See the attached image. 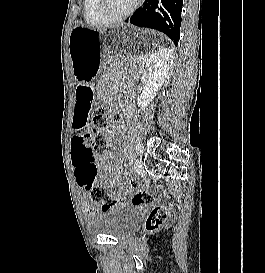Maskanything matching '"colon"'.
Returning a JSON list of instances; mask_svg holds the SVG:
<instances>
[{"label": "colon", "mask_w": 265, "mask_h": 273, "mask_svg": "<svg viewBox=\"0 0 265 273\" xmlns=\"http://www.w3.org/2000/svg\"><path fill=\"white\" fill-rule=\"evenodd\" d=\"M122 116L119 113H113L103 105L96 103L95 94L87 85H80L77 89V105L73 109L72 120L70 124L76 128L77 132H84L88 125H92L94 133L91 135L88 154L90 156L101 155L107 148V137L105 131L110 123H119ZM97 175L95 168L88 173L81 172L79 174V182L82 187L89 190L90 199L99 203L102 206L112 204V199L109 196V191L114 190L118 196H124L125 190L118 187L114 181L104 180L99 185H94V180ZM131 200L136 205H143L153 201L152 194L143 189L135 188L132 191ZM168 218V209L163 205H157L150 211L145 228L149 232L159 230Z\"/></svg>", "instance_id": "1"}]
</instances>
